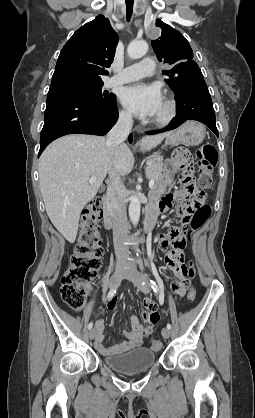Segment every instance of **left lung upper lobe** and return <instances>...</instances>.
<instances>
[{
  "mask_svg": "<svg viewBox=\"0 0 255 418\" xmlns=\"http://www.w3.org/2000/svg\"><path fill=\"white\" fill-rule=\"evenodd\" d=\"M156 26L162 29V34L159 39L152 40L151 45L157 59L171 65L170 69L162 70L171 89L177 92L181 87L203 78L198 64L193 60V52L186 38L159 19Z\"/></svg>",
  "mask_w": 255,
  "mask_h": 418,
  "instance_id": "obj_1",
  "label": "left lung upper lobe"
}]
</instances>
